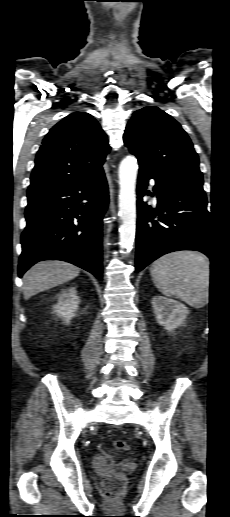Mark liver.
<instances>
[{
    "label": "liver",
    "mask_w": 230,
    "mask_h": 517,
    "mask_svg": "<svg viewBox=\"0 0 230 517\" xmlns=\"http://www.w3.org/2000/svg\"><path fill=\"white\" fill-rule=\"evenodd\" d=\"M80 273V269L68 262L48 260L36 263L23 276L25 300L33 295L68 282Z\"/></svg>",
    "instance_id": "6515ba94"
}]
</instances>
